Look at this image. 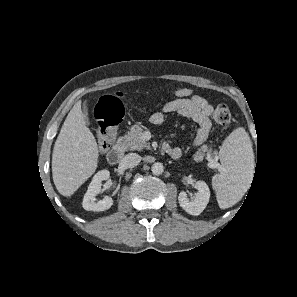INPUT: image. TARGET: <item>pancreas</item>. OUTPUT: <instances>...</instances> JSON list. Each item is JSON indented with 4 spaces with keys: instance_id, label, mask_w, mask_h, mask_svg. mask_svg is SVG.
I'll return each mask as SVG.
<instances>
[{
    "instance_id": "cf45deb5",
    "label": "pancreas",
    "mask_w": 297,
    "mask_h": 297,
    "mask_svg": "<svg viewBox=\"0 0 297 297\" xmlns=\"http://www.w3.org/2000/svg\"><path fill=\"white\" fill-rule=\"evenodd\" d=\"M143 129L139 126H133L127 135L120 137L117 141V145L124 150H142L144 148L149 149L150 145L142 139ZM199 158V156H197Z\"/></svg>"
}]
</instances>
